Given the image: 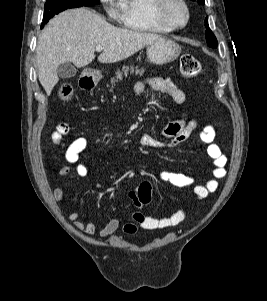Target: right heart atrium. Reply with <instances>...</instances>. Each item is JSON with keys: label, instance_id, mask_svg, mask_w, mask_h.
<instances>
[{"label": "right heart atrium", "instance_id": "d8ad5b80", "mask_svg": "<svg viewBox=\"0 0 267 301\" xmlns=\"http://www.w3.org/2000/svg\"><path fill=\"white\" fill-rule=\"evenodd\" d=\"M102 7L108 16L115 22L123 21L122 0H100Z\"/></svg>", "mask_w": 267, "mask_h": 301}]
</instances>
